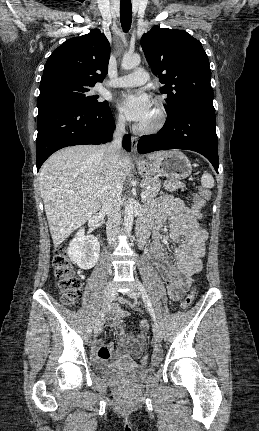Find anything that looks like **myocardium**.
<instances>
[{"label":"myocardium","mask_w":259,"mask_h":431,"mask_svg":"<svg viewBox=\"0 0 259 431\" xmlns=\"http://www.w3.org/2000/svg\"><path fill=\"white\" fill-rule=\"evenodd\" d=\"M154 111L156 115V119L154 123L148 126H143V125L137 126L136 127L137 132L141 134L149 135V134L158 133L164 128L167 122V112H166L164 103L159 98H157L154 102Z\"/></svg>","instance_id":"1"}]
</instances>
